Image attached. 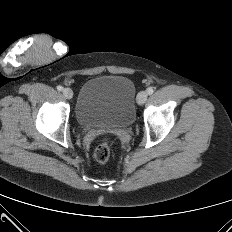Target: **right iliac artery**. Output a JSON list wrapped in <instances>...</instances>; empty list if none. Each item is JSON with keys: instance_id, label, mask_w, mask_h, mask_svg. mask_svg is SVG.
Listing matches in <instances>:
<instances>
[{"instance_id": "right-iliac-artery-1", "label": "right iliac artery", "mask_w": 232, "mask_h": 232, "mask_svg": "<svg viewBox=\"0 0 232 232\" xmlns=\"http://www.w3.org/2000/svg\"><path fill=\"white\" fill-rule=\"evenodd\" d=\"M57 90H58V91H62V90H63V87L59 85V86H57Z\"/></svg>"}]
</instances>
